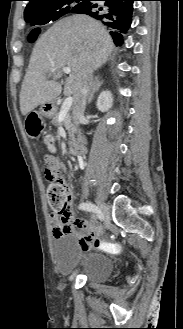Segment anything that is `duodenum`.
Wrapping results in <instances>:
<instances>
[{
  "instance_id": "410a0bca",
  "label": "duodenum",
  "mask_w": 183,
  "mask_h": 329,
  "mask_svg": "<svg viewBox=\"0 0 183 329\" xmlns=\"http://www.w3.org/2000/svg\"><path fill=\"white\" fill-rule=\"evenodd\" d=\"M86 153V141L84 139L77 141L69 148L71 156H81Z\"/></svg>"
}]
</instances>
